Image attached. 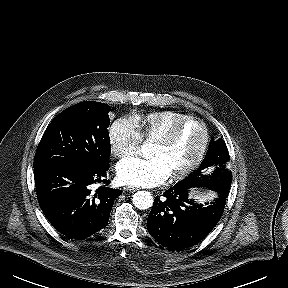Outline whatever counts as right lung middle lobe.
Segmentation results:
<instances>
[{
  "label": "right lung middle lobe",
  "mask_w": 288,
  "mask_h": 288,
  "mask_svg": "<svg viewBox=\"0 0 288 288\" xmlns=\"http://www.w3.org/2000/svg\"><path fill=\"white\" fill-rule=\"evenodd\" d=\"M110 107L84 101L62 111L47 127L38 145L34 170L62 166L93 171L109 164Z\"/></svg>",
  "instance_id": "right-lung-middle-lobe-1"
}]
</instances>
